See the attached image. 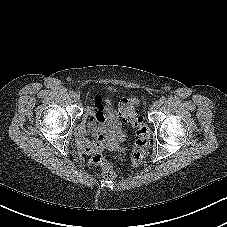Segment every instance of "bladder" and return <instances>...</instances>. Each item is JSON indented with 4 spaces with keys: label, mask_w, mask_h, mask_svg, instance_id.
<instances>
[{
    "label": "bladder",
    "mask_w": 227,
    "mask_h": 227,
    "mask_svg": "<svg viewBox=\"0 0 227 227\" xmlns=\"http://www.w3.org/2000/svg\"><path fill=\"white\" fill-rule=\"evenodd\" d=\"M116 133H117V136L120 137V138H123L124 135H125V134H124L121 130H119V129L116 130Z\"/></svg>",
    "instance_id": "31cf9c89"
}]
</instances>
